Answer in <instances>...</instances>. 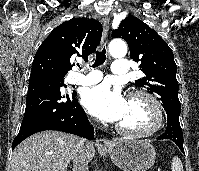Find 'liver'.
I'll return each instance as SVG.
<instances>
[{
	"instance_id": "6515ba94",
	"label": "liver",
	"mask_w": 199,
	"mask_h": 171,
	"mask_svg": "<svg viewBox=\"0 0 199 171\" xmlns=\"http://www.w3.org/2000/svg\"><path fill=\"white\" fill-rule=\"evenodd\" d=\"M79 138L58 131L36 133L13 151L10 171H66L73 159ZM86 158L91 161L95 155L92 143L85 146Z\"/></svg>"
}]
</instances>
